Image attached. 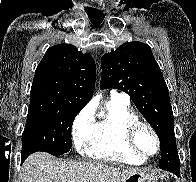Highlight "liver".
<instances>
[{"label": "liver", "mask_w": 196, "mask_h": 182, "mask_svg": "<svg viewBox=\"0 0 196 182\" xmlns=\"http://www.w3.org/2000/svg\"><path fill=\"white\" fill-rule=\"evenodd\" d=\"M137 172L133 167L61 160L39 152L24 162L21 182H125Z\"/></svg>", "instance_id": "1"}]
</instances>
